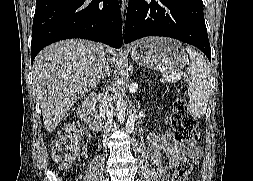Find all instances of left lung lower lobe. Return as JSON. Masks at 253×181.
Instances as JSON below:
<instances>
[{"label":"left lung lower lobe","instance_id":"obj_1","mask_svg":"<svg viewBox=\"0 0 253 181\" xmlns=\"http://www.w3.org/2000/svg\"><path fill=\"white\" fill-rule=\"evenodd\" d=\"M146 36L170 37L194 45L211 61L202 0H129L124 42Z\"/></svg>","mask_w":253,"mask_h":181}]
</instances>
